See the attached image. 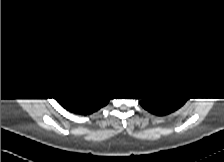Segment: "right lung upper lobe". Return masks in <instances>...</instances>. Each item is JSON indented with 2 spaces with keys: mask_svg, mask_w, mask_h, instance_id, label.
Returning <instances> with one entry per match:
<instances>
[{
  "mask_svg": "<svg viewBox=\"0 0 224 162\" xmlns=\"http://www.w3.org/2000/svg\"><path fill=\"white\" fill-rule=\"evenodd\" d=\"M52 94L62 106L72 112H89L97 105V103L86 101L84 90L68 84H59Z\"/></svg>",
  "mask_w": 224,
  "mask_h": 162,
  "instance_id": "1",
  "label": "right lung upper lobe"
}]
</instances>
